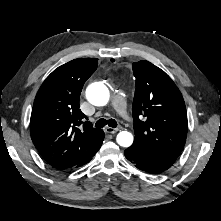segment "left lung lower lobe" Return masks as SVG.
Here are the masks:
<instances>
[{
  "label": "left lung lower lobe",
  "instance_id": "left-lung-lower-lobe-1",
  "mask_svg": "<svg viewBox=\"0 0 221 221\" xmlns=\"http://www.w3.org/2000/svg\"><path fill=\"white\" fill-rule=\"evenodd\" d=\"M125 157L138 169L151 173H161L173 163L140 146L131 145L124 151Z\"/></svg>",
  "mask_w": 221,
  "mask_h": 221
}]
</instances>
